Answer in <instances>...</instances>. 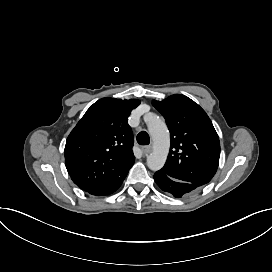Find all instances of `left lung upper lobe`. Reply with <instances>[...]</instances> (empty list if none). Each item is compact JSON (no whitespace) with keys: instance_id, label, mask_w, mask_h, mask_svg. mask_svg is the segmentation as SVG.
<instances>
[{"instance_id":"left-lung-upper-lobe-1","label":"left lung upper lobe","mask_w":272,"mask_h":272,"mask_svg":"<svg viewBox=\"0 0 272 272\" xmlns=\"http://www.w3.org/2000/svg\"><path fill=\"white\" fill-rule=\"evenodd\" d=\"M153 106L164 116L171 136L169 155L160 171L198 187L208 183L220 156L219 138L208 115L181 94L154 100Z\"/></svg>"}]
</instances>
